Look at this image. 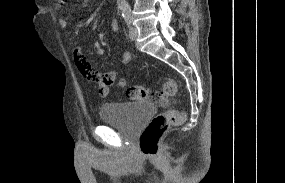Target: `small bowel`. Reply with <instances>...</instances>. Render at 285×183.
I'll list each match as a JSON object with an SVG mask.
<instances>
[{
    "instance_id": "small-bowel-1",
    "label": "small bowel",
    "mask_w": 285,
    "mask_h": 183,
    "mask_svg": "<svg viewBox=\"0 0 285 183\" xmlns=\"http://www.w3.org/2000/svg\"><path fill=\"white\" fill-rule=\"evenodd\" d=\"M59 24L61 28L65 29L68 26V22L65 18H60ZM113 29L115 31L118 30V26L116 23L113 24ZM94 49L96 51V54L101 56L104 54L105 50L100 42H95L94 43ZM74 57H75V62L78 65L79 63H84L87 64L92 73L95 75L96 79L90 80L93 81L94 83L97 84L98 87V94L101 98H106L109 94V87L114 83L115 78H116V72L115 71H106V72H100L93 68L90 63L86 60L84 57L81 48L78 47L74 51ZM131 60V54L129 52H124L122 55L121 62L119 66H124L128 64Z\"/></svg>"
}]
</instances>
